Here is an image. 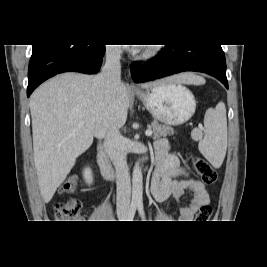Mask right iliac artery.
<instances>
[{
    "mask_svg": "<svg viewBox=\"0 0 267 267\" xmlns=\"http://www.w3.org/2000/svg\"><path fill=\"white\" fill-rule=\"evenodd\" d=\"M136 208H137V204L136 203H132L130 205V209H129L126 221H132L133 220V218L135 216Z\"/></svg>",
    "mask_w": 267,
    "mask_h": 267,
    "instance_id": "right-iliac-artery-1",
    "label": "right iliac artery"
}]
</instances>
